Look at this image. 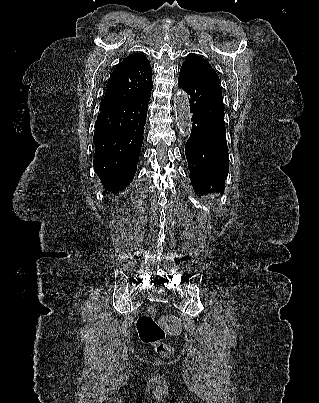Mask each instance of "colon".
<instances>
[{"mask_svg":"<svg viewBox=\"0 0 319 403\" xmlns=\"http://www.w3.org/2000/svg\"><path fill=\"white\" fill-rule=\"evenodd\" d=\"M156 314V308L149 307L144 314L138 317L136 328L139 338L143 343L152 345L157 354L163 357H171L174 354V349L164 342L166 331L156 321Z\"/></svg>","mask_w":319,"mask_h":403,"instance_id":"5ec220e1","label":"colon"}]
</instances>
